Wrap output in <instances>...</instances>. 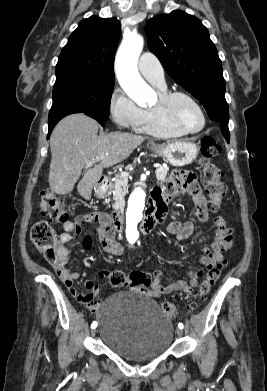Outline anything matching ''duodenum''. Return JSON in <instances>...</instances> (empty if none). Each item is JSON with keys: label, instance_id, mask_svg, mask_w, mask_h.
Returning a JSON list of instances; mask_svg holds the SVG:
<instances>
[{"label": "duodenum", "instance_id": "410a0bca", "mask_svg": "<svg viewBox=\"0 0 267 391\" xmlns=\"http://www.w3.org/2000/svg\"><path fill=\"white\" fill-rule=\"evenodd\" d=\"M108 183L107 177H101L97 180L95 190L102 192ZM160 221V216L157 209H150L141 223L143 233H151L156 224ZM111 228L115 232H122L124 228V216L121 210H116L111 216Z\"/></svg>", "mask_w": 267, "mask_h": 391}]
</instances>
